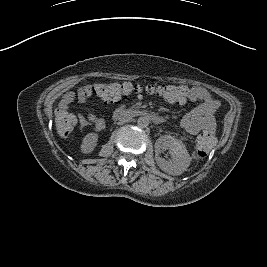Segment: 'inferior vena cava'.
<instances>
[{
    "label": "inferior vena cava",
    "mask_w": 267,
    "mask_h": 267,
    "mask_svg": "<svg viewBox=\"0 0 267 267\" xmlns=\"http://www.w3.org/2000/svg\"><path fill=\"white\" fill-rule=\"evenodd\" d=\"M129 121H130V119H128V118L122 119L118 122V125H123L124 123L129 122Z\"/></svg>",
    "instance_id": "inferior-vena-cava-1"
}]
</instances>
